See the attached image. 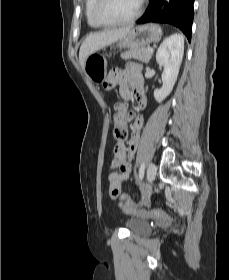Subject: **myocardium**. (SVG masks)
<instances>
[{"instance_id":"f54148a6","label":"myocardium","mask_w":229,"mask_h":280,"mask_svg":"<svg viewBox=\"0 0 229 280\" xmlns=\"http://www.w3.org/2000/svg\"><path fill=\"white\" fill-rule=\"evenodd\" d=\"M106 0H96L93 9V19L100 27H114L133 23L142 13L145 0H140L137 10L128 18L121 20H106L101 15V10Z\"/></svg>"}]
</instances>
